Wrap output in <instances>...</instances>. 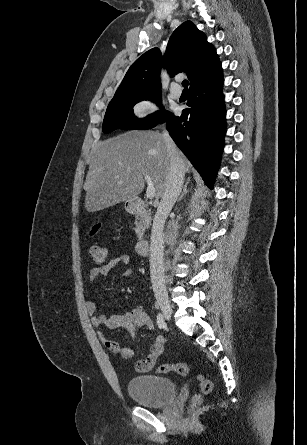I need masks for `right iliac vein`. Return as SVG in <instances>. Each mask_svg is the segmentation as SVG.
<instances>
[{"label": "right iliac vein", "mask_w": 307, "mask_h": 445, "mask_svg": "<svg viewBox=\"0 0 307 445\" xmlns=\"http://www.w3.org/2000/svg\"><path fill=\"white\" fill-rule=\"evenodd\" d=\"M158 304H159V307H160L165 319L169 320L171 318V314H172V308L170 306L169 301L165 298H160L158 300Z\"/></svg>", "instance_id": "63e3f726"}]
</instances>
